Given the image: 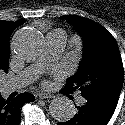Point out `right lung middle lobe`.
Segmentation results:
<instances>
[{
	"label": "right lung middle lobe",
	"mask_w": 125,
	"mask_h": 125,
	"mask_svg": "<svg viewBox=\"0 0 125 125\" xmlns=\"http://www.w3.org/2000/svg\"><path fill=\"white\" fill-rule=\"evenodd\" d=\"M10 51L8 49H0V69L7 72V65L9 63ZM1 63L5 64L1 66Z\"/></svg>",
	"instance_id": "dd1d6c3e"
}]
</instances>
